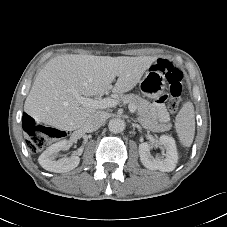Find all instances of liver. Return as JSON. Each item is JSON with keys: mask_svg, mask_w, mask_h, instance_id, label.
Masks as SVG:
<instances>
[{"mask_svg": "<svg viewBox=\"0 0 227 227\" xmlns=\"http://www.w3.org/2000/svg\"><path fill=\"white\" fill-rule=\"evenodd\" d=\"M156 57L65 54L48 61L36 76L24 111L35 120L64 131L84 126L97 109L83 106L71 92L102 96L132 90ZM118 77L115 85L112 82Z\"/></svg>", "mask_w": 227, "mask_h": 227, "instance_id": "obj_1", "label": "liver"}]
</instances>
